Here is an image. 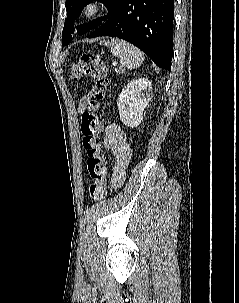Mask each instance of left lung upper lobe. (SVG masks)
I'll use <instances>...</instances> for the list:
<instances>
[{
  "instance_id": "5c2ea615",
  "label": "left lung upper lobe",
  "mask_w": 239,
  "mask_h": 303,
  "mask_svg": "<svg viewBox=\"0 0 239 303\" xmlns=\"http://www.w3.org/2000/svg\"><path fill=\"white\" fill-rule=\"evenodd\" d=\"M94 0H66V11L67 18L65 19V24L62 32V41L63 45H67L71 42L72 36L71 33L74 32V20L79 17L82 9L85 5L93 2ZM104 3L108 9L107 16L98 18L78 27L77 33L82 35L89 30L99 27L102 24L103 20H106L111 16L117 6L121 3L122 0H97Z\"/></svg>"
}]
</instances>
